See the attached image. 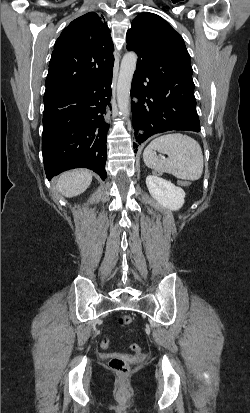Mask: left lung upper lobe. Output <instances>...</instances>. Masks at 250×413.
Here are the masks:
<instances>
[{
	"instance_id": "obj_1",
	"label": "left lung upper lobe",
	"mask_w": 250,
	"mask_h": 413,
	"mask_svg": "<svg viewBox=\"0 0 250 413\" xmlns=\"http://www.w3.org/2000/svg\"><path fill=\"white\" fill-rule=\"evenodd\" d=\"M127 49L142 59L141 65L154 76H172L182 83L192 80L190 55L181 35L153 13L138 15L126 35Z\"/></svg>"
}]
</instances>
